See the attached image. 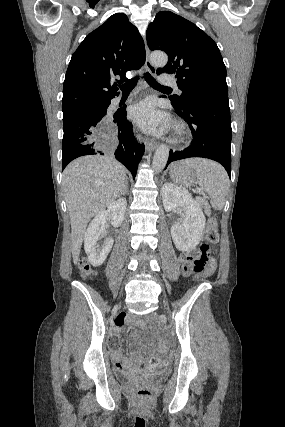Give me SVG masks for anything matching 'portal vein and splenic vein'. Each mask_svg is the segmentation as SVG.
I'll return each mask as SVG.
<instances>
[{
  "label": "portal vein and splenic vein",
  "mask_w": 285,
  "mask_h": 427,
  "mask_svg": "<svg viewBox=\"0 0 285 427\" xmlns=\"http://www.w3.org/2000/svg\"><path fill=\"white\" fill-rule=\"evenodd\" d=\"M198 192H199V193H201V194H203V192H202V191H200V190H199Z\"/></svg>",
  "instance_id": "1"
}]
</instances>
